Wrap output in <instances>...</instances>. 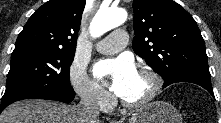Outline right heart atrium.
I'll use <instances>...</instances> for the list:
<instances>
[{
	"label": "right heart atrium",
	"mask_w": 221,
	"mask_h": 123,
	"mask_svg": "<svg viewBox=\"0 0 221 123\" xmlns=\"http://www.w3.org/2000/svg\"><path fill=\"white\" fill-rule=\"evenodd\" d=\"M70 82L81 100L102 110H108L113 103L112 96L99 88L86 74L85 69L78 63L70 68Z\"/></svg>",
	"instance_id": "1"
}]
</instances>
